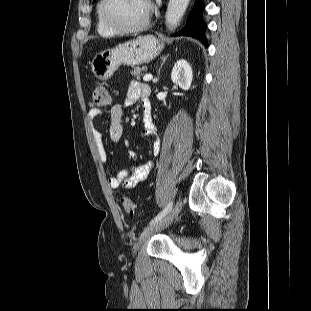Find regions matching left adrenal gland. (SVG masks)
<instances>
[{
	"label": "left adrenal gland",
	"mask_w": 311,
	"mask_h": 311,
	"mask_svg": "<svg viewBox=\"0 0 311 311\" xmlns=\"http://www.w3.org/2000/svg\"><path fill=\"white\" fill-rule=\"evenodd\" d=\"M168 56H169V54L161 58L162 63H161L160 69L162 68L163 64H164V63H165V61L167 60ZM160 69H159L158 74L160 73ZM158 78H159V77H158Z\"/></svg>",
	"instance_id": "a2214340"
}]
</instances>
